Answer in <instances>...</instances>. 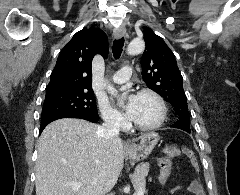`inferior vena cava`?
I'll use <instances>...</instances> for the list:
<instances>
[{"instance_id":"602c4592","label":"inferior vena cava","mask_w":240,"mask_h":195,"mask_svg":"<svg viewBox=\"0 0 240 195\" xmlns=\"http://www.w3.org/2000/svg\"><path fill=\"white\" fill-rule=\"evenodd\" d=\"M104 123L98 127L97 133L102 139H119L120 123L116 117H112L110 113H105Z\"/></svg>"}]
</instances>
